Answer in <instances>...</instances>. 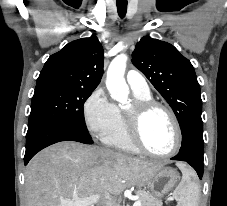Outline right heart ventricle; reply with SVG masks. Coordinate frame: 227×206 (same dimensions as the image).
I'll return each instance as SVG.
<instances>
[{
    "label": "right heart ventricle",
    "mask_w": 227,
    "mask_h": 206,
    "mask_svg": "<svg viewBox=\"0 0 227 206\" xmlns=\"http://www.w3.org/2000/svg\"><path fill=\"white\" fill-rule=\"evenodd\" d=\"M135 99L147 100L151 99L150 93H136L134 92ZM116 121L112 129L102 138L104 143L108 146L128 153H139L128 138L126 132V125L124 114L121 109L115 106Z\"/></svg>",
    "instance_id": "1"
}]
</instances>
